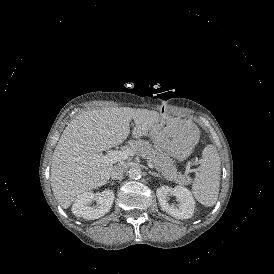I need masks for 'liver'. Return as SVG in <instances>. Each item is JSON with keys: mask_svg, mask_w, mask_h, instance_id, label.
Listing matches in <instances>:
<instances>
[{"mask_svg": "<svg viewBox=\"0 0 274 274\" xmlns=\"http://www.w3.org/2000/svg\"><path fill=\"white\" fill-rule=\"evenodd\" d=\"M131 120L135 126L130 144L159 129L161 115L143 108H97L82 112L65 127L52 155L50 176L53 195L63 209L110 181L113 163L100 162L96 156L127 139Z\"/></svg>", "mask_w": 274, "mask_h": 274, "instance_id": "liver-1", "label": "liver"}]
</instances>
